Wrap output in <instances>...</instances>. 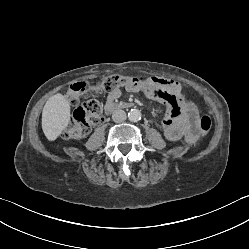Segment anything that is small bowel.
Listing matches in <instances>:
<instances>
[{
    "mask_svg": "<svg viewBox=\"0 0 249 249\" xmlns=\"http://www.w3.org/2000/svg\"><path fill=\"white\" fill-rule=\"evenodd\" d=\"M138 83L126 86L127 92H144L149 98L165 102L168 116L163 121L162 130L170 141L184 139L193 144L200 138L198 129L199 111L196 105L185 99L181 85L163 77H137ZM120 88L109 91L105 106L115 103L121 96Z\"/></svg>",
    "mask_w": 249,
    "mask_h": 249,
    "instance_id": "1",
    "label": "small bowel"
}]
</instances>
